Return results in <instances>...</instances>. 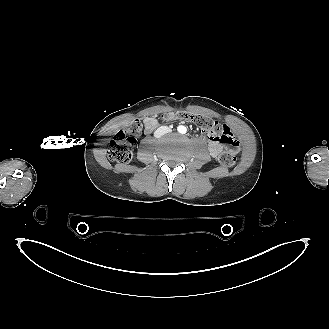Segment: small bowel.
I'll list each match as a JSON object with an SVG mask.
<instances>
[{"instance_id": "small-bowel-1", "label": "small bowel", "mask_w": 329, "mask_h": 329, "mask_svg": "<svg viewBox=\"0 0 329 329\" xmlns=\"http://www.w3.org/2000/svg\"><path fill=\"white\" fill-rule=\"evenodd\" d=\"M145 123H146L147 132H151L157 126V123L151 117H147L145 119ZM225 128H226V132L229 133L230 135H232L230 128L228 126H225ZM205 136L208 140V150H209L210 154L214 158H218L223 151L221 142L214 135H212L210 133H205Z\"/></svg>"}]
</instances>
